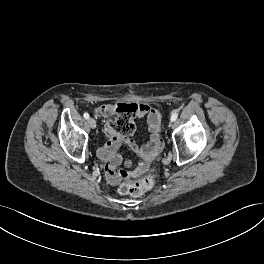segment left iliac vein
<instances>
[{
	"mask_svg": "<svg viewBox=\"0 0 264 264\" xmlns=\"http://www.w3.org/2000/svg\"><path fill=\"white\" fill-rule=\"evenodd\" d=\"M173 126V121H170L169 122V127H172Z\"/></svg>",
	"mask_w": 264,
	"mask_h": 264,
	"instance_id": "4c4485c4",
	"label": "left iliac vein"
}]
</instances>
